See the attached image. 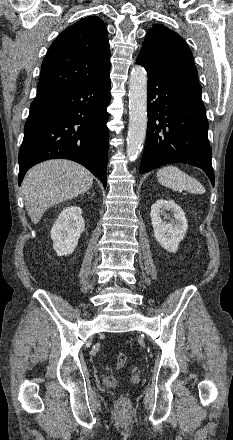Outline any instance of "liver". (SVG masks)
I'll return each instance as SVG.
<instances>
[{
	"mask_svg": "<svg viewBox=\"0 0 233 440\" xmlns=\"http://www.w3.org/2000/svg\"><path fill=\"white\" fill-rule=\"evenodd\" d=\"M93 178L82 165L64 159L49 160L32 167L22 182V192L33 224H37L53 205L88 191Z\"/></svg>",
	"mask_w": 233,
	"mask_h": 440,
	"instance_id": "1",
	"label": "liver"
}]
</instances>
